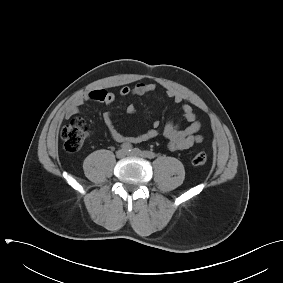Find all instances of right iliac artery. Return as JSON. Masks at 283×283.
I'll return each mask as SVG.
<instances>
[{
	"instance_id": "right-iliac-artery-1",
	"label": "right iliac artery",
	"mask_w": 283,
	"mask_h": 283,
	"mask_svg": "<svg viewBox=\"0 0 283 283\" xmlns=\"http://www.w3.org/2000/svg\"><path fill=\"white\" fill-rule=\"evenodd\" d=\"M121 148H122L123 150H125V151H131L132 145H131L130 143H123V144L121 145Z\"/></svg>"
}]
</instances>
